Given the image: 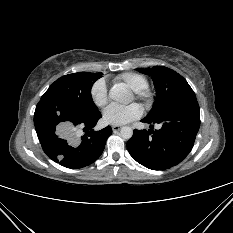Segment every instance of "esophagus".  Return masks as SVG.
I'll use <instances>...</instances> for the list:
<instances>
[{
    "instance_id": "1",
    "label": "esophagus",
    "mask_w": 233,
    "mask_h": 233,
    "mask_svg": "<svg viewBox=\"0 0 233 233\" xmlns=\"http://www.w3.org/2000/svg\"><path fill=\"white\" fill-rule=\"evenodd\" d=\"M120 129H121V126H119V125H113V126H112V130H113L114 132L119 131Z\"/></svg>"
}]
</instances>
